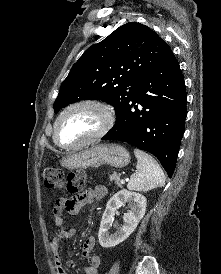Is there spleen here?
<instances>
[{"label": "spleen", "mask_w": 221, "mask_h": 274, "mask_svg": "<svg viewBox=\"0 0 221 274\" xmlns=\"http://www.w3.org/2000/svg\"><path fill=\"white\" fill-rule=\"evenodd\" d=\"M137 158L136 172L131 175L127 188L146 192L165 185V175L152 156L139 149H134Z\"/></svg>", "instance_id": "spleen-1"}]
</instances>
